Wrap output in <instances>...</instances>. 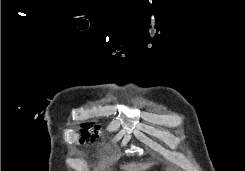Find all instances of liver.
Masks as SVG:
<instances>
[{
	"instance_id": "liver-1",
	"label": "liver",
	"mask_w": 245,
	"mask_h": 171,
	"mask_svg": "<svg viewBox=\"0 0 245 171\" xmlns=\"http://www.w3.org/2000/svg\"><path fill=\"white\" fill-rule=\"evenodd\" d=\"M153 163H129L121 166L124 171H146L149 169Z\"/></svg>"
}]
</instances>
